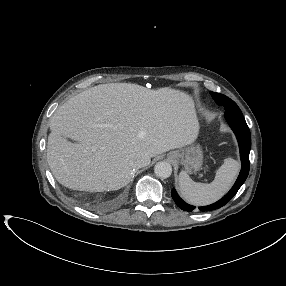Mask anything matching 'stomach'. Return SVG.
<instances>
[{"mask_svg": "<svg viewBox=\"0 0 286 286\" xmlns=\"http://www.w3.org/2000/svg\"><path fill=\"white\" fill-rule=\"evenodd\" d=\"M168 157L181 163L187 173L197 172L203 162V152L199 145H191L172 151Z\"/></svg>", "mask_w": 286, "mask_h": 286, "instance_id": "0dacf381", "label": "stomach"}]
</instances>
